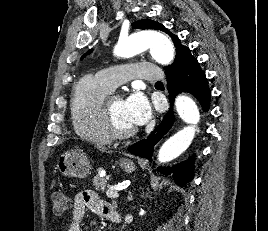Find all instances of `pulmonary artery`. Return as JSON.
<instances>
[{"label": "pulmonary artery", "instance_id": "e3ab8cb5", "mask_svg": "<svg viewBox=\"0 0 268 231\" xmlns=\"http://www.w3.org/2000/svg\"><path fill=\"white\" fill-rule=\"evenodd\" d=\"M97 76L112 90L129 77H137L150 82L163 78L159 66L144 62L107 67L98 72Z\"/></svg>", "mask_w": 268, "mask_h": 231}]
</instances>
